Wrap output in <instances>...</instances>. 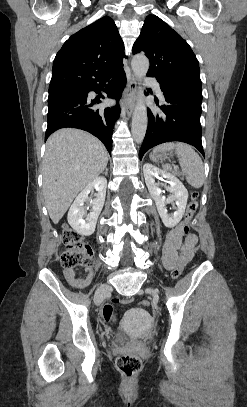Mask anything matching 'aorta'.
<instances>
[{
	"label": "aorta",
	"mask_w": 247,
	"mask_h": 407,
	"mask_svg": "<svg viewBox=\"0 0 247 407\" xmlns=\"http://www.w3.org/2000/svg\"><path fill=\"white\" fill-rule=\"evenodd\" d=\"M131 67L136 78L141 81L148 72L149 60L144 54H137L132 58ZM138 95L132 116V137L135 142L141 143L147 129V108L142 87L139 88Z\"/></svg>",
	"instance_id": "aorta-1"
}]
</instances>
